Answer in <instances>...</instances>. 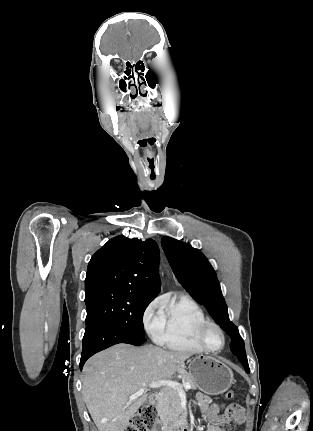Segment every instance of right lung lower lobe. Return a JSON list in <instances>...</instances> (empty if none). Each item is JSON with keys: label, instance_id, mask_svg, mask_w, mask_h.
I'll list each match as a JSON object with an SVG mask.
<instances>
[{"label": "right lung lower lobe", "instance_id": "right-lung-lower-lobe-1", "mask_svg": "<svg viewBox=\"0 0 313 431\" xmlns=\"http://www.w3.org/2000/svg\"><path fill=\"white\" fill-rule=\"evenodd\" d=\"M146 341L144 337L136 336L129 331L109 323H99L85 330L83 350L80 360L82 370L86 360L95 353L118 343H128L140 346Z\"/></svg>", "mask_w": 313, "mask_h": 431}]
</instances>
